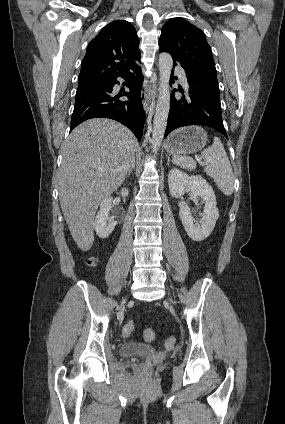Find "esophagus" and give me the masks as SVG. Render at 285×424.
I'll use <instances>...</instances> for the list:
<instances>
[{"label":"esophagus","mask_w":285,"mask_h":424,"mask_svg":"<svg viewBox=\"0 0 285 424\" xmlns=\"http://www.w3.org/2000/svg\"><path fill=\"white\" fill-rule=\"evenodd\" d=\"M157 86H158V82L155 85V87L151 85H145L142 89V104H143V109L146 112H148L149 110V104H150L151 98L153 97L154 94H156Z\"/></svg>","instance_id":"esophagus-1"}]
</instances>
